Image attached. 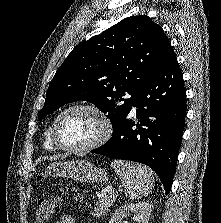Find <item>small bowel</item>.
Wrapping results in <instances>:
<instances>
[{
  "label": "small bowel",
  "mask_w": 221,
  "mask_h": 223,
  "mask_svg": "<svg viewBox=\"0 0 221 223\" xmlns=\"http://www.w3.org/2000/svg\"><path fill=\"white\" fill-rule=\"evenodd\" d=\"M55 223H75V219L72 215L65 213Z\"/></svg>",
  "instance_id": "c3829d8e"
}]
</instances>
